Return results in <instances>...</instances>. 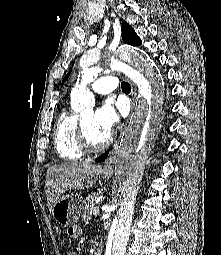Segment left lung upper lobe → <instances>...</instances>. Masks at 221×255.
<instances>
[{"label":"left lung upper lobe","mask_w":221,"mask_h":255,"mask_svg":"<svg viewBox=\"0 0 221 255\" xmlns=\"http://www.w3.org/2000/svg\"><path fill=\"white\" fill-rule=\"evenodd\" d=\"M121 36H122L123 41L127 44H130V45H133V46L141 45L140 38L134 32L133 28L126 22L122 23V34H121ZM70 73H71V71H69V73L64 77L61 86H63L64 82L68 79Z\"/></svg>","instance_id":"5c2ea615"}]
</instances>
